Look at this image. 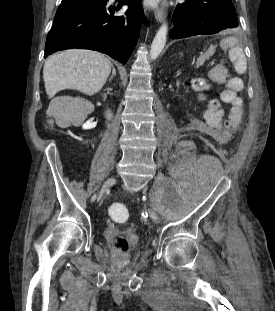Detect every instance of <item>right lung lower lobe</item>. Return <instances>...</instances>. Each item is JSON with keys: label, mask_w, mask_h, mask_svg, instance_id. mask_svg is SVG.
Masks as SVG:
<instances>
[{"label": "right lung lower lobe", "mask_w": 275, "mask_h": 311, "mask_svg": "<svg viewBox=\"0 0 275 311\" xmlns=\"http://www.w3.org/2000/svg\"><path fill=\"white\" fill-rule=\"evenodd\" d=\"M108 1V0H107ZM139 0H126L130 8L115 15L121 4L78 9L55 17L48 33L44 57L64 49L100 51L125 64L136 45L143 21Z\"/></svg>", "instance_id": "1"}]
</instances>
